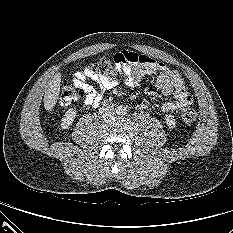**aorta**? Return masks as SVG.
Returning <instances> with one entry per match:
<instances>
[{"label":"aorta","mask_w":233,"mask_h":233,"mask_svg":"<svg viewBox=\"0 0 233 233\" xmlns=\"http://www.w3.org/2000/svg\"><path fill=\"white\" fill-rule=\"evenodd\" d=\"M125 111H126V109L124 107H122V106H119L116 109V113L119 114V115H124Z\"/></svg>","instance_id":"1"}]
</instances>
